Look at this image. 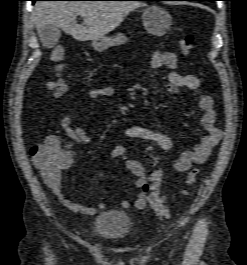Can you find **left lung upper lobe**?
<instances>
[{
  "instance_id": "obj_1",
  "label": "left lung upper lobe",
  "mask_w": 247,
  "mask_h": 265,
  "mask_svg": "<svg viewBox=\"0 0 247 265\" xmlns=\"http://www.w3.org/2000/svg\"><path fill=\"white\" fill-rule=\"evenodd\" d=\"M202 1H216V0H202Z\"/></svg>"
}]
</instances>
